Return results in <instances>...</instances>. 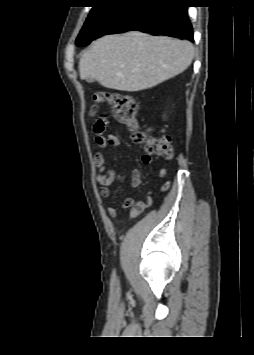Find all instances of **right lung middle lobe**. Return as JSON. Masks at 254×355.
<instances>
[{
  "label": "right lung middle lobe",
  "mask_w": 254,
  "mask_h": 355,
  "mask_svg": "<svg viewBox=\"0 0 254 355\" xmlns=\"http://www.w3.org/2000/svg\"><path fill=\"white\" fill-rule=\"evenodd\" d=\"M118 5L116 2H103L93 6L77 40L91 41Z\"/></svg>",
  "instance_id": "obj_1"
}]
</instances>
